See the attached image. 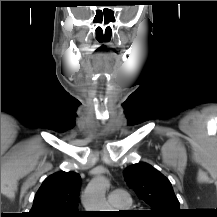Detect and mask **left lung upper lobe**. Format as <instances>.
<instances>
[{"label":"left lung upper lobe","mask_w":217,"mask_h":217,"mask_svg":"<svg viewBox=\"0 0 217 217\" xmlns=\"http://www.w3.org/2000/svg\"><path fill=\"white\" fill-rule=\"evenodd\" d=\"M124 178L135 193L151 206V217H180V203L170 181L151 165L140 162L124 170Z\"/></svg>","instance_id":"1"}]
</instances>
